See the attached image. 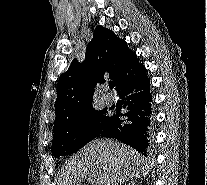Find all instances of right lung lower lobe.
Here are the masks:
<instances>
[{"label":"right lung lower lobe","mask_w":207,"mask_h":185,"mask_svg":"<svg viewBox=\"0 0 207 185\" xmlns=\"http://www.w3.org/2000/svg\"><path fill=\"white\" fill-rule=\"evenodd\" d=\"M116 90L123 106L112 115L99 135L116 138L146 155L153 112L150 82L145 71L135 78L119 84Z\"/></svg>","instance_id":"obj_1"}]
</instances>
